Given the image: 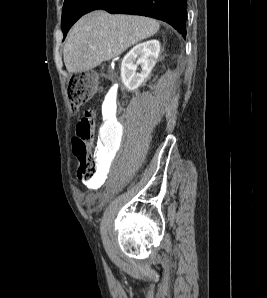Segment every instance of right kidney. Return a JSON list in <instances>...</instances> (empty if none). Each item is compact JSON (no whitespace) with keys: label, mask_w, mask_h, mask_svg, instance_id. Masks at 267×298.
I'll list each match as a JSON object with an SVG mask.
<instances>
[{"label":"right kidney","mask_w":267,"mask_h":298,"mask_svg":"<svg viewBox=\"0 0 267 298\" xmlns=\"http://www.w3.org/2000/svg\"><path fill=\"white\" fill-rule=\"evenodd\" d=\"M160 52L158 40H149L134 46L123 58L121 64V79L125 87L133 91L148 77L155 66ZM138 65L140 73H136Z\"/></svg>","instance_id":"ca27d5eb"}]
</instances>
